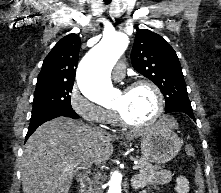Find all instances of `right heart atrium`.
I'll list each match as a JSON object with an SVG mask.
<instances>
[{
	"label": "right heart atrium",
	"instance_id": "d8ad5b80",
	"mask_svg": "<svg viewBox=\"0 0 221 193\" xmlns=\"http://www.w3.org/2000/svg\"><path fill=\"white\" fill-rule=\"evenodd\" d=\"M69 105L82 119L90 123L102 125L109 123L113 112L103 108L86 98L78 86L74 85L69 93Z\"/></svg>",
	"mask_w": 221,
	"mask_h": 193
}]
</instances>
